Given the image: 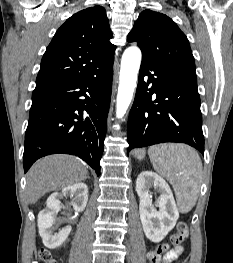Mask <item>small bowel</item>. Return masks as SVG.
<instances>
[{
  "mask_svg": "<svg viewBox=\"0 0 233 263\" xmlns=\"http://www.w3.org/2000/svg\"><path fill=\"white\" fill-rule=\"evenodd\" d=\"M183 252L182 247H175L171 249L163 258V263H171L181 256Z\"/></svg>",
  "mask_w": 233,
  "mask_h": 263,
  "instance_id": "c3829d8e",
  "label": "small bowel"
}]
</instances>
